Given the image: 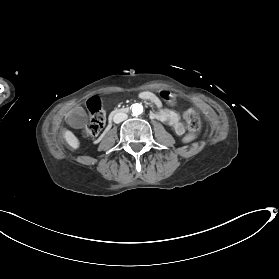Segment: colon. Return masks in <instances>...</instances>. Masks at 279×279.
<instances>
[{
  "label": "colon",
  "mask_w": 279,
  "mask_h": 279,
  "mask_svg": "<svg viewBox=\"0 0 279 279\" xmlns=\"http://www.w3.org/2000/svg\"><path fill=\"white\" fill-rule=\"evenodd\" d=\"M189 133L185 136L186 142H191L195 138V133L200 129V118L195 110H186L183 114ZM105 126V113L102 108L92 111L88 124L84 129V134L88 137L98 135Z\"/></svg>",
  "instance_id": "5ec220e1"
}]
</instances>
